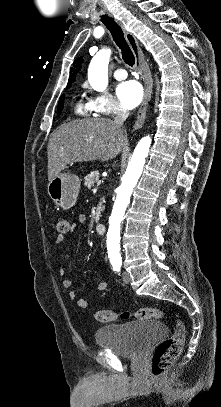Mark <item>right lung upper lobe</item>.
<instances>
[{
	"label": "right lung upper lobe",
	"instance_id": "right-lung-upper-lobe-1",
	"mask_svg": "<svg viewBox=\"0 0 221 407\" xmlns=\"http://www.w3.org/2000/svg\"><path fill=\"white\" fill-rule=\"evenodd\" d=\"M83 62L82 57L77 58L74 63H73V67L71 68V74L68 80V85L67 87L71 86V83L75 81V75L77 73V71L81 68V63Z\"/></svg>",
	"mask_w": 221,
	"mask_h": 407
}]
</instances>
